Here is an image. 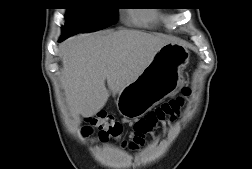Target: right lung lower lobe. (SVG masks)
I'll return each instance as SVG.
<instances>
[{
  "label": "right lung lower lobe",
  "instance_id": "right-lung-lower-lobe-1",
  "mask_svg": "<svg viewBox=\"0 0 252 169\" xmlns=\"http://www.w3.org/2000/svg\"><path fill=\"white\" fill-rule=\"evenodd\" d=\"M64 39H65V38L62 36L61 39H60L59 41H62V40H64Z\"/></svg>",
  "mask_w": 252,
  "mask_h": 169
}]
</instances>
